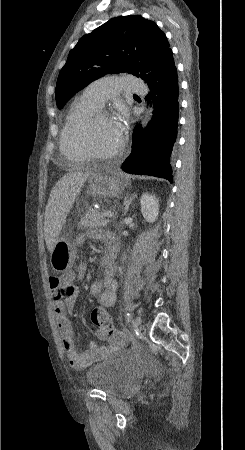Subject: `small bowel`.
<instances>
[{"mask_svg": "<svg viewBox=\"0 0 245 450\" xmlns=\"http://www.w3.org/2000/svg\"><path fill=\"white\" fill-rule=\"evenodd\" d=\"M91 237L93 236L81 234L77 238V243L84 246ZM102 240L105 243L104 256L109 257L111 262L109 268L105 270L103 278L95 281L91 289L98 296L100 306L108 308L116 302L115 292L117 282L114 278L116 272L114 259L119 243L111 233L103 234ZM85 272V268L80 266L78 268V277L81 279L84 278ZM67 277L69 278L68 282H64L61 277L56 275H51L48 279L53 299V311L61 335L62 346L70 365L74 369H84L102 356L106 352V349L98 347L95 342H91L84 350L76 348L74 332L67 314L75 307L80 295V288L73 284L75 278L73 273ZM96 335L100 340H107L106 333L102 329L98 328Z\"/></svg>", "mask_w": 245, "mask_h": 450, "instance_id": "small-bowel-1", "label": "small bowel"}]
</instances>
